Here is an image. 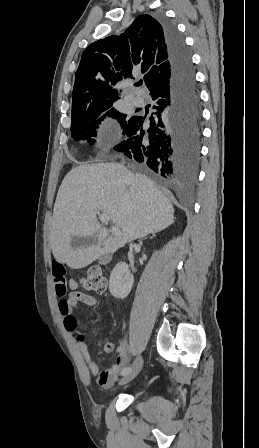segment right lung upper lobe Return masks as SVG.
<instances>
[{
	"instance_id": "right-lung-upper-lobe-1",
	"label": "right lung upper lobe",
	"mask_w": 259,
	"mask_h": 448,
	"mask_svg": "<svg viewBox=\"0 0 259 448\" xmlns=\"http://www.w3.org/2000/svg\"><path fill=\"white\" fill-rule=\"evenodd\" d=\"M133 67L141 69L150 95L165 91L171 82V64L163 27L150 15H140L120 36L91 43L83 52L75 76L72 113L113 105L116 83L133 78Z\"/></svg>"
}]
</instances>
